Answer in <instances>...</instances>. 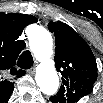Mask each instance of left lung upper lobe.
Returning <instances> with one entry per match:
<instances>
[{
    "label": "left lung upper lobe",
    "mask_w": 103,
    "mask_h": 103,
    "mask_svg": "<svg viewBox=\"0 0 103 103\" xmlns=\"http://www.w3.org/2000/svg\"><path fill=\"white\" fill-rule=\"evenodd\" d=\"M48 28L55 34V66L62 74V85L53 103H74V95L89 94L97 79V64L87 43L67 24L50 22Z\"/></svg>",
    "instance_id": "5c2ea615"
}]
</instances>
